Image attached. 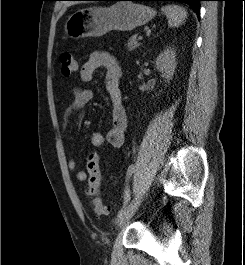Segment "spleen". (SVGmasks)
<instances>
[{"mask_svg": "<svg viewBox=\"0 0 245 265\" xmlns=\"http://www.w3.org/2000/svg\"><path fill=\"white\" fill-rule=\"evenodd\" d=\"M162 11L167 16L170 27H178L187 18V11L178 5L165 6Z\"/></svg>", "mask_w": 245, "mask_h": 265, "instance_id": "spleen-1", "label": "spleen"}]
</instances>
